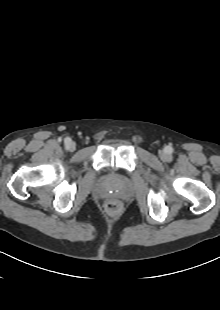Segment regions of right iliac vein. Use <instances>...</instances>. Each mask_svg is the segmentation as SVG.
Listing matches in <instances>:
<instances>
[{"label":"right iliac vein","mask_w":220,"mask_h":310,"mask_svg":"<svg viewBox=\"0 0 220 310\" xmlns=\"http://www.w3.org/2000/svg\"><path fill=\"white\" fill-rule=\"evenodd\" d=\"M66 147L69 151H74L76 149V144L73 141H70L68 144H66Z\"/></svg>","instance_id":"right-iliac-vein-1"}]
</instances>
